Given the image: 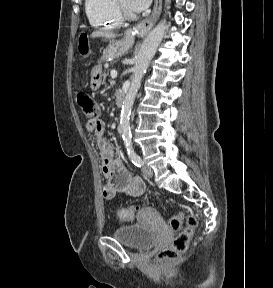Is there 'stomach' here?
<instances>
[{
    "mask_svg": "<svg viewBox=\"0 0 273 288\" xmlns=\"http://www.w3.org/2000/svg\"><path fill=\"white\" fill-rule=\"evenodd\" d=\"M132 46V43L126 38H122L120 40H113L110 41L107 47L103 50V54L99 59V62H104L107 60H112L117 57H120L123 55L130 47ZM77 52L80 56L85 57L90 53V44L85 38V36L79 37L78 45H77ZM101 72V65L99 64L96 66L92 71V77H93V88L96 89L99 86L100 83V77L99 79L95 78L98 77L97 73ZM95 79V80H94Z\"/></svg>",
    "mask_w": 273,
    "mask_h": 288,
    "instance_id": "0dacf381",
    "label": "stomach"
}]
</instances>
